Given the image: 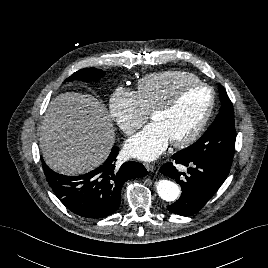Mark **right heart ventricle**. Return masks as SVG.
I'll list each match as a JSON object with an SVG mask.
<instances>
[{"label": "right heart ventricle", "instance_id": "obj_1", "mask_svg": "<svg viewBox=\"0 0 268 268\" xmlns=\"http://www.w3.org/2000/svg\"><path fill=\"white\" fill-rule=\"evenodd\" d=\"M199 81L184 70H164L147 74L137 82V92L147 111L162 105L182 84Z\"/></svg>", "mask_w": 268, "mask_h": 268}]
</instances>
